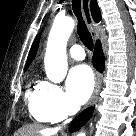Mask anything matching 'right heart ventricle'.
<instances>
[{
	"label": "right heart ventricle",
	"mask_w": 136,
	"mask_h": 136,
	"mask_svg": "<svg viewBox=\"0 0 136 136\" xmlns=\"http://www.w3.org/2000/svg\"><path fill=\"white\" fill-rule=\"evenodd\" d=\"M39 86L37 85L33 89H28L26 92V99L28 102L29 112L34 119L40 122L51 121L47 116L44 109L40 106L39 103Z\"/></svg>",
	"instance_id": "obj_1"
}]
</instances>
